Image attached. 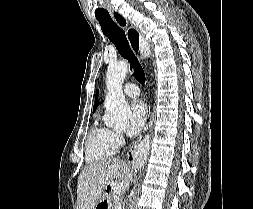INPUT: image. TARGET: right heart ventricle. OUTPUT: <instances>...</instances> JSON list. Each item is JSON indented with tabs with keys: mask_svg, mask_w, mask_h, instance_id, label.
<instances>
[{
	"mask_svg": "<svg viewBox=\"0 0 253 209\" xmlns=\"http://www.w3.org/2000/svg\"><path fill=\"white\" fill-rule=\"evenodd\" d=\"M117 146L113 141V131L96 120L91 127L86 142V159L93 163L111 157Z\"/></svg>",
	"mask_w": 253,
	"mask_h": 209,
	"instance_id": "obj_1",
	"label": "right heart ventricle"
}]
</instances>
